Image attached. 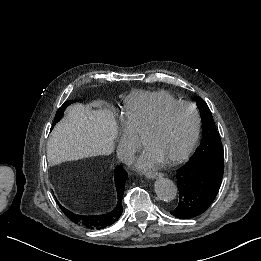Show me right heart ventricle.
I'll list each match as a JSON object with an SVG mask.
<instances>
[{"label":"right heart ventricle","mask_w":261,"mask_h":261,"mask_svg":"<svg viewBox=\"0 0 261 261\" xmlns=\"http://www.w3.org/2000/svg\"><path fill=\"white\" fill-rule=\"evenodd\" d=\"M173 101H178V98L167 90H137L121 100V113L127 119L138 121L142 116L154 113ZM132 148L131 145L129 150Z\"/></svg>","instance_id":"right-heart-ventricle-1"}]
</instances>
